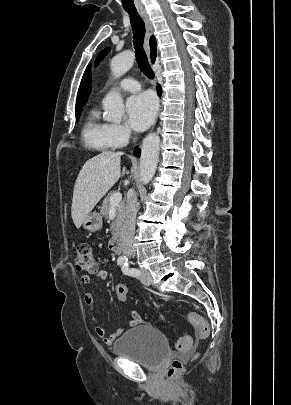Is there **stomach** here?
I'll use <instances>...</instances> for the list:
<instances>
[{"instance_id":"0dacf381","label":"stomach","mask_w":291,"mask_h":405,"mask_svg":"<svg viewBox=\"0 0 291 405\" xmlns=\"http://www.w3.org/2000/svg\"><path fill=\"white\" fill-rule=\"evenodd\" d=\"M84 229L94 232L98 231L102 227V217L98 212H91L87 215L82 223Z\"/></svg>"}]
</instances>
